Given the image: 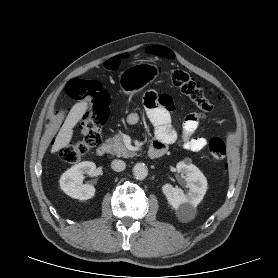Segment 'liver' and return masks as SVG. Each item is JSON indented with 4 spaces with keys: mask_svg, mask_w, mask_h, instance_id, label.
Segmentation results:
<instances>
[{
    "mask_svg": "<svg viewBox=\"0 0 278 278\" xmlns=\"http://www.w3.org/2000/svg\"><path fill=\"white\" fill-rule=\"evenodd\" d=\"M88 100H83L76 103L70 110L64 124L62 125L58 135L56 136L55 142L52 146L51 152L55 153L60 149L66 147L73 136V128L82 119L88 108Z\"/></svg>",
    "mask_w": 278,
    "mask_h": 278,
    "instance_id": "obj_1",
    "label": "liver"
}]
</instances>
